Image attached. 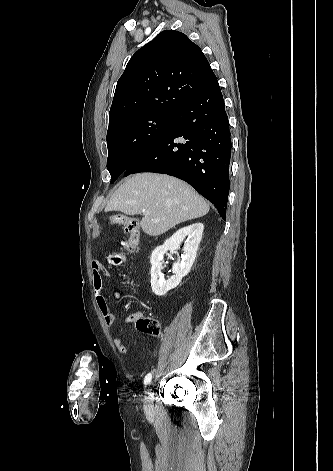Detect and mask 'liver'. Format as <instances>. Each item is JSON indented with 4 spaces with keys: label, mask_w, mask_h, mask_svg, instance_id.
Returning <instances> with one entry per match:
<instances>
[{
    "label": "liver",
    "mask_w": 333,
    "mask_h": 471,
    "mask_svg": "<svg viewBox=\"0 0 333 471\" xmlns=\"http://www.w3.org/2000/svg\"><path fill=\"white\" fill-rule=\"evenodd\" d=\"M209 209L204 198L186 182L157 173H139L126 179L105 207L106 212L127 215L147 210L140 226L150 236H159L177 224L202 217Z\"/></svg>",
    "instance_id": "6515ba94"
}]
</instances>
